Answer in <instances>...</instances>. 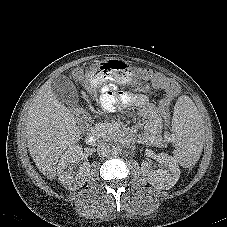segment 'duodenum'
<instances>
[{
    "label": "duodenum",
    "mask_w": 227,
    "mask_h": 227,
    "mask_svg": "<svg viewBox=\"0 0 227 227\" xmlns=\"http://www.w3.org/2000/svg\"><path fill=\"white\" fill-rule=\"evenodd\" d=\"M85 140L88 145H95L97 143L96 133L93 130L88 131L86 133Z\"/></svg>",
    "instance_id": "1"
}]
</instances>
